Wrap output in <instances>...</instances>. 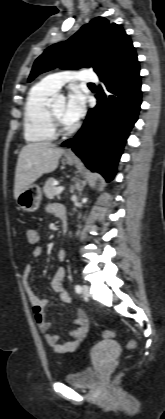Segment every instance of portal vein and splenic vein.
<instances>
[{
    "label": "portal vein and splenic vein",
    "instance_id": "obj_1",
    "mask_svg": "<svg viewBox=\"0 0 165 419\" xmlns=\"http://www.w3.org/2000/svg\"><path fill=\"white\" fill-rule=\"evenodd\" d=\"M63 190H64V187H63V186H59V187H57V189H56V193H57V194H60L61 192H63Z\"/></svg>",
    "mask_w": 165,
    "mask_h": 419
}]
</instances>
